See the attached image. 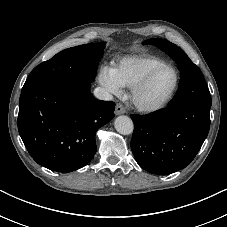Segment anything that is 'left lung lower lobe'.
Segmentation results:
<instances>
[{
  "instance_id": "1",
  "label": "left lung lower lobe",
  "mask_w": 227,
  "mask_h": 227,
  "mask_svg": "<svg viewBox=\"0 0 227 227\" xmlns=\"http://www.w3.org/2000/svg\"><path fill=\"white\" fill-rule=\"evenodd\" d=\"M131 118L134 157L144 170L157 175H168L188 166L210 129V107L200 104L168 106Z\"/></svg>"
}]
</instances>
